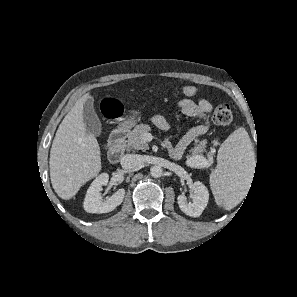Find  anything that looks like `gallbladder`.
I'll use <instances>...</instances> for the list:
<instances>
[{"label":"gallbladder","mask_w":297,"mask_h":297,"mask_svg":"<svg viewBox=\"0 0 297 297\" xmlns=\"http://www.w3.org/2000/svg\"><path fill=\"white\" fill-rule=\"evenodd\" d=\"M93 101V98L89 97L85 102L83 109V121L87 132L99 137L102 133V124L94 109Z\"/></svg>","instance_id":"gallbladder-1"}]
</instances>
